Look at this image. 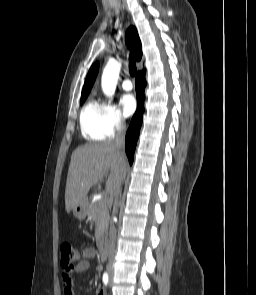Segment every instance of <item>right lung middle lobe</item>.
<instances>
[{"label":"right lung middle lobe","mask_w":256,"mask_h":295,"mask_svg":"<svg viewBox=\"0 0 256 295\" xmlns=\"http://www.w3.org/2000/svg\"><path fill=\"white\" fill-rule=\"evenodd\" d=\"M88 95H82L81 96V105L84 103Z\"/></svg>","instance_id":"dd1d6c3e"}]
</instances>
